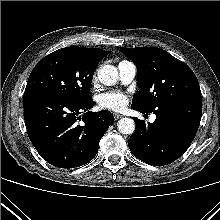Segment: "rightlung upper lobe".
<instances>
[{
    "instance_id": "1",
    "label": "right lung upper lobe",
    "mask_w": 220,
    "mask_h": 220,
    "mask_svg": "<svg viewBox=\"0 0 220 220\" xmlns=\"http://www.w3.org/2000/svg\"><path fill=\"white\" fill-rule=\"evenodd\" d=\"M85 58L90 59L95 62H100L109 51H104L98 48H85V47H75Z\"/></svg>"
}]
</instances>
